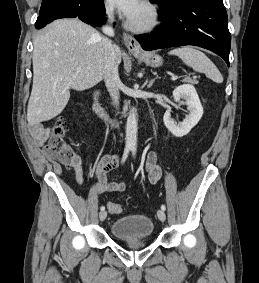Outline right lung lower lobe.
<instances>
[{
  "label": "right lung lower lobe",
  "mask_w": 259,
  "mask_h": 283,
  "mask_svg": "<svg viewBox=\"0 0 259 283\" xmlns=\"http://www.w3.org/2000/svg\"><path fill=\"white\" fill-rule=\"evenodd\" d=\"M104 14L103 0H43L35 27L40 29L55 19L74 17L95 27L102 25Z\"/></svg>",
  "instance_id": "obj_1"
}]
</instances>
